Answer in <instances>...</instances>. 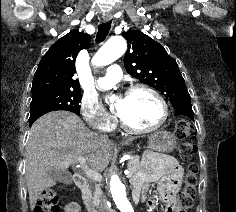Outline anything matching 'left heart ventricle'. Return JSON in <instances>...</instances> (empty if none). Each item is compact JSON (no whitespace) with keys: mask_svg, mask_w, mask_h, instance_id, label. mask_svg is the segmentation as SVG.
<instances>
[{"mask_svg":"<svg viewBox=\"0 0 236 212\" xmlns=\"http://www.w3.org/2000/svg\"><path fill=\"white\" fill-rule=\"evenodd\" d=\"M119 115L131 127L148 128L156 124L162 115L158 100L149 92L138 90L118 99Z\"/></svg>","mask_w":236,"mask_h":212,"instance_id":"1","label":"left heart ventricle"}]
</instances>
